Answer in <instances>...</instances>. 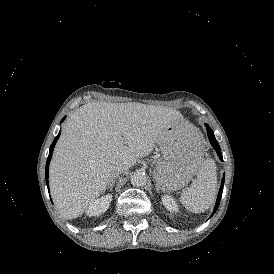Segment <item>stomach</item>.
Segmentation results:
<instances>
[{"mask_svg":"<svg viewBox=\"0 0 274 274\" xmlns=\"http://www.w3.org/2000/svg\"><path fill=\"white\" fill-rule=\"evenodd\" d=\"M169 132L168 137L158 140L162 156L156 162L154 171L157 184L166 192L183 188L199 168L193 149L194 137L198 135L197 128L186 122L178 133L172 127Z\"/></svg>","mask_w":274,"mask_h":274,"instance_id":"1","label":"stomach"}]
</instances>
